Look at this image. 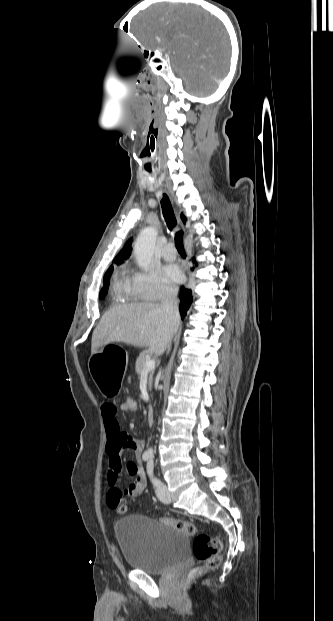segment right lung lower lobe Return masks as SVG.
Masks as SVG:
<instances>
[{
  "label": "right lung lower lobe",
  "instance_id": "1",
  "mask_svg": "<svg viewBox=\"0 0 333 621\" xmlns=\"http://www.w3.org/2000/svg\"><path fill=\"white\" fill-rule=\"evenodd\" d=\"M179 298H180L179 310H180L181 317L184 318L186 315V311L189 309L190 303L192 302L191 290L182 286L180 289Z\"/></svg>",
  "mask_w": 333,
  "mask_h": 621
}]
</instances>
